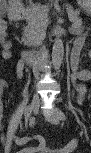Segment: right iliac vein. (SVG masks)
Segmentation results:
<instances>
[{"label":"right iliac vein","mask_w":91,"mask_h":153,"mask_svg":"<svg viewBox=\"0 0 91 153\" xmlns=\"http://www.w3.org/2000/svg\"><path fill=\"white\" fill-rule=\"evenodd\" d=\"M41 99L38 95H35L32 99L31 104L29 105V114L32 112L37 111L39 105H40Z\"/></svg>","instance_id":"right-iliac-vein-1"}]
</instances>
